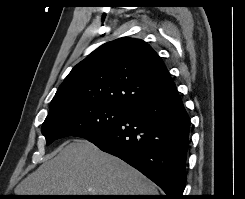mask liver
Returning <instances> with one entry per match:
<instances>
[{
  "mask_svg": "<svg viewBox=\"0 0 245 199\" xmlns=\"http://www.w3.org/2000/svg\"><path fill=\"white\" fill-rule=\"evenodd\" d=\"M16 195H158L156 186L121 159L85 139L66 144L15 188Z\"/></svg>",
  "mask_w": 245,
  "mask_h": 199,
  "instance_id": "obj_1",
  "label": "liver"
}]
</instances>
